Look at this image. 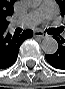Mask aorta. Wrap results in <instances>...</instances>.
I'll return each mask as SVG.
<instances>
[{
  "mask_svg": "<svg viewBox=\"0 0 65 89\" xmlns=\"http://www.w3.org/2000/svg\"><path fill=\"white\" fill-rule=\"evenodd\" d=\"M28 5L30 7H36L38 5V1L32 0ZM41 49L46 54H54L58 50V43L53 37H45L41 42Z\"/></svg>",
  "mask_w": 65,
  "mask_h": 89,
  "instance_id": "762f6f07",
  "label": "aorta"
}]
</instances>
